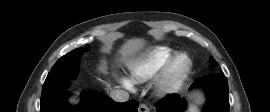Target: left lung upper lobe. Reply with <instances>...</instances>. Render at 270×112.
Returning a JSON list of instances; mask_svg holds the SVG:
<instances>
[{
	"label": "left lung upper lobe",
	"mask_w": 270,
	"mask_h": 112,
	"mask_svg": "<svg viewBox=\"0 0 270 112\" xmlns=\"http://www.w3.org/2000/svg\"><path fill=\"white\" fill-rule=\"evenodd\" d=\"M211 60H212V59H211ZM212 62H213L214 65H217V63H216L214 60H212Z\"/></svg>",
	"instance_id": "1"
}]
</instances>
